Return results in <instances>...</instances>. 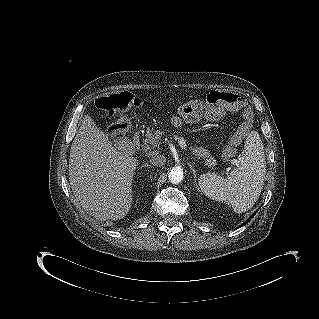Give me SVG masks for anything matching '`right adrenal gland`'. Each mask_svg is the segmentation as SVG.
Instances as JSON below:
<instances>
[{
	"mask_svg": "<svg viewBox=\"0 0 319 319\" xmlns=\"http://www.w3.org/2000/svg\"><path fill=\"white\" fill-rule=\"evenodd\" d=\"M142 167H150V165L148 163H145L142 165Z\"/></svg>",
	"mask_w": 319,
	"mask_h": 319,
	"instance_id": "right-adrenal-gland-1",
	"label": "right adrenal gland"
}]
</instances>
